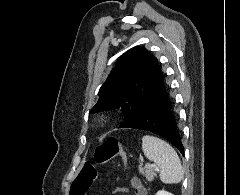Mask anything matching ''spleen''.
Masks as SVG:
<instances>
[{"mask_svg":"<svg viewBox=\"0 0 240 195\" xmlns=\"http://www.w3.org/2000/svg\"><path fill=\"white\" fill-rule=\"evenodd\" d=\"M142 149L148 159L155 161L159 167V175L163 183H179L184 171L180 157L174 147L154 135H143Z\"/></svg>","mask_w":240,"mask_h":195,"instance_id":"3e777b00","label":"spleen"}]
</instances>
